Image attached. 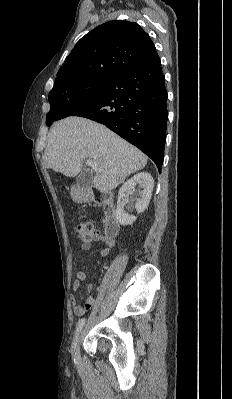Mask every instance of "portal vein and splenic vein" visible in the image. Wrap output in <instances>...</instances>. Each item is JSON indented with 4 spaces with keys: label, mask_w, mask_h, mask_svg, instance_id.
<instances>
[{
    "label": "portal vein and splenic vein",
    "mask_w": 232,
    "mask_h": 399,
    "mask_svg": "<svg viewBox=\"0 0 232 399\" xmlns=\"http://www.w3.org/2000/svg\"><path fill=\"white\" fill-rule=\"evenodd\" d=\"M86 164L87 166H91V168H93L94 172H96V174H101V170H98L95 162H92V160H86Z\"/></svg>",
    "instance_id": "18ae733b"
}]
</instances>
